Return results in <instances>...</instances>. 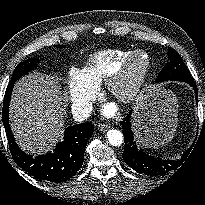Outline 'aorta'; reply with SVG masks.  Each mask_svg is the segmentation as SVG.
<instances>
[{
	"instance_id": "1",
	"label": "aorta",
	"mask_w": 205,
	"mask_h": 205,
	"mask_svg": "<svg viewBox=\"0 0 205 205\" xmlns=\"http://www.w3.org/2000/svg\"><path fill=\"white\" fill-rule=\"evenodd\" d=\"M107 138L112 146H120L123 143V134L116 129L109 130L107 132Z\"/></svg>"
}]
</instances>
